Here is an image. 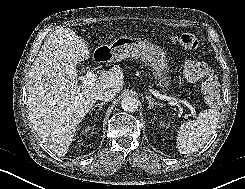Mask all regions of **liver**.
<instances>
[{"label": "liver", "mask_w": 245, "mask_h": 189, "mask_svg": "<svg viewBox=\"0 0 245 189\" xmlns=\"http://www.w3.org/2000/svg\"><path fill=\"white\" fill-rule=\"evenodd\" d=\"M89 57L87 43L70 28H60L44 42L29 74V120L42 142L60 156L67 153L100 90L119 93L124 85L119 66L102 72L87 86L79 85L76 65Z\"/></svg>", "instance_id": "6515ba94"}]
</instances>
